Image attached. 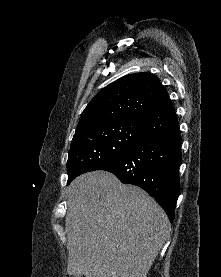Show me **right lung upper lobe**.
<instances>
[{
  "mask_svg": "<svg viewBox=\"0 0 221 277\" xmlns=\"http://www.w3.org/2000/svg\"><path fill=\"white\" fill-rule=\"evenodd\" d=\"M169 101L166 89L152 73L126 75L92 99L80 117L75 134L95 126L138 121Z\"/></svg>",
  "mask_w": 221,
  "mask_h": 277,
  "instance_id": "cb5924a9",
  "label": "right lung upper lobe"
}]
</instances>
